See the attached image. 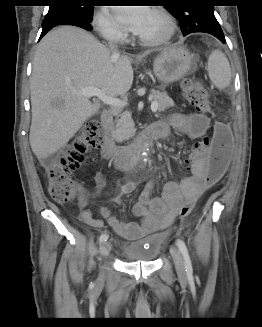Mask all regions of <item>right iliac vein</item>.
Wrapping results in <instances>:
<instances>
[{
	"mask_svg": "<svg viewBox=\"0 0 262 327\" xmlns=\"http://www.w3.org/2000/svg\"><path fill=\"white\" fill-rule=\"evenodd\" d=\"M111 250V243L110 242H103L100 246V253L102 256H107ZM104 281V275L101 272L98 278L99 283H103Z\"/></svg>",
	"mask_w": 262,
	"mask_h": 327,
	"instance_id": "1",
	"label": "right iliac vein"
}]
</instances>
